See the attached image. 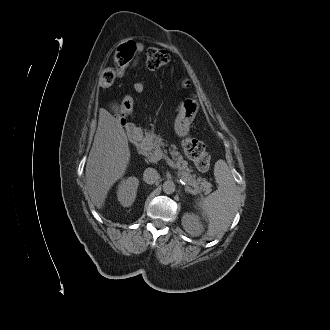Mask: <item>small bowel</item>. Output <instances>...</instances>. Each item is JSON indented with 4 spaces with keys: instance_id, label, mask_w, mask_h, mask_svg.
I'll return each mask as SVG.
<instances>
[{
    "instance_id": "c3829d8e",
    "label": "small bowel",
    "mask_w": 330,
    "mask_h": 330,
    "mask_svg": "<svg viewBox=\"0 0 330 330\" xmlns=\"http://www.w3.org/2000/svg\"><path fill=\"white\" fill-rule=\"evenodd\" d=\"M134 43H135V42H134ZM135 46H136V48H135V55H134L132 61H131L127 66L122 67V68H119V69L117 70V77H118V78H123V77H125V76L129 73V71H130L131 69H133V68L138 64L139 57H140V53H141V51H142V47H141L140 44H136V43H135ZM144 88H145V84H144L143 81H137V82H135L134 85H133V89H134V91H135L136 93H139V94L142 93V92L144 91ZM121 111H122V112H125V110H124L123 108H121Z\"/></svg>"
}]
</instances>
